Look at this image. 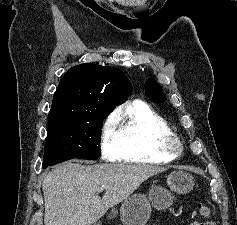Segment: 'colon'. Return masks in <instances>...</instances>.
Returning <instances> with one entry per match:
<instances>
[{
    "instance_id": "obj_1",
    "label": "colon",
    "mask_w": 237,
    "mask_h": 225,
    "mask_svg": "<svg viewBox=\"0 0 237 225\" xmlns=\"http://www.w3.org/2000/svg\"><path fill=\"white\" fill-rule=\"evenodd\" d=\"M201 215L204 220L196 222L195 225H217L215 221L209 219V209L203 205H198Z\"/></svg>"
}]
</instances>
